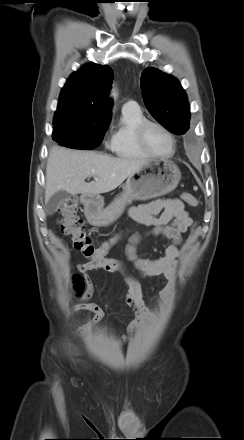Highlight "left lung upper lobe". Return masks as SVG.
Here are the masks:
<instances>
[{
    "mask_svg": "<svg viewBox=\"0 0 244 440\" xmlns=\"http://www.w3.org/2000/svg\"><path fill=\"white\" fill-rule=\"evenodd\" d=\"M144 103L151 115L174 134H184L190 126L187 95L171 75L147 68L141 75Z\"/></svg>",
    "mask_w": 244,
    "mask_h": 440,
    "instance_id": "left-lung-upper-lobe-1",
    "label": "left lung upper lobe"
}]
</instances>
